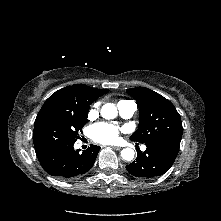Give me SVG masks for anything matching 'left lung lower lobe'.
Wrapping results in <instances>:
<instances>
[{"label":"left lung lower lobe","mask_w":221,"mask_h":221,"mask_svg":"<svg viewBox=\"0 0 221 221\" xmlns=\"http://www.w3.org/2000/svg\"><path fill=\"white\" fill-rule=\"evenodd\" d=\"M144 152L137 150V158L126 166L127 171L139 178H154L165 174L173 165L180 142L158 139L145 143Z\"/></svg>","instance_id":"1"}]
</instances>
